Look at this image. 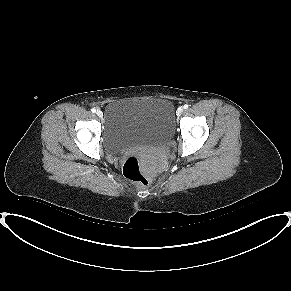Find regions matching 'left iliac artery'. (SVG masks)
I'll return each mask as SVG.
<instances>
[{
	"label": "left iliac artery",
	"mask_w": 291,
	"mask_h": 291,
	"mask_svg": "<svg viewBox=\"0 0 291 291\" xmlns=\"http://www.w3.org/2000/svg\"><path fill=\"white\" fill-rule=\"evenodd\" d=\"M188 107H189L188 104H185V105L183 106L184 109H187Z\"/></svg>",
	"instance_id": "obj_1"
}]
</instances>
